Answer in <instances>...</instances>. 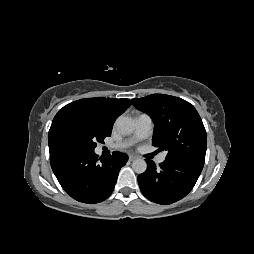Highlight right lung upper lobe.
<instances>
[{
    "mask_svg": "<svg viewBox=\"0 0 254 254\" xmlns=\"http://www.w3.org/2000/svg\"><path fill=\"white\" fill-rule=\"evenodd\" d=\"M131 105L129 99L116 98H85L74 101L61 108L55 115L49 130L48 144L49 147L56 143L54 139V129L57 123L69 114H85L96 117L105 127L112 130V126L116 118L121 115Z\"/></svg>",
    "mask_w": 254,
    "mask_h": 254,
    "instance_id": "1",
    "label": "right lung upper lobe"
}]
</instances>
